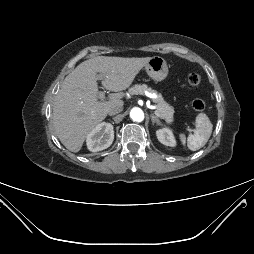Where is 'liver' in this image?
<instances>
[{"mask_svg": "<svg viewBox=\"0 0 254 254\" xmlns=\"http://www.w3.org/2000/svg\"><path fill=\"white\" fill-rule=\"evenodd\" d=\"M151 57L97 56L80 63L63 81L53 105V127L61 143L78 152L88 134L102 122L110 107L124 104L122 93L98 100L97 73L113 92L127 89Z\"/></svg>", "mask_w": 254, "mask_h": 254, "instance_id": "1", "label": "liver"}]
</instances>
